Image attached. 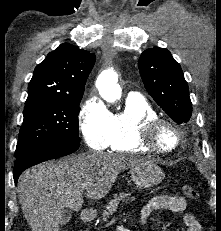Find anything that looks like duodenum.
Returning <instances> with one entry per match:
<instances>
[{
  "instance_id": "410a0bca",
  "label": "duodenum",
  "mask_w": 221,
  "mask_h": 231,
  "mask_svg": "<svg viewBox=\"0 0 221 231\" xmlns=\"http://www.w3.org/2000/svg\"><path fill=\"white\" fill-rule=\"evenodd\" d=\"M81 219L83 222H90L93 219V213L90 209H83L81 212Z\"/></svg>"
}]
</instances>
